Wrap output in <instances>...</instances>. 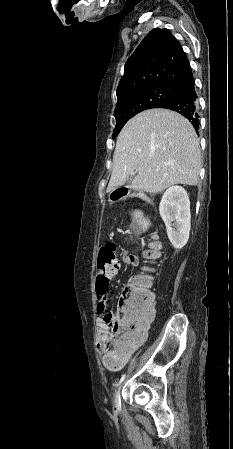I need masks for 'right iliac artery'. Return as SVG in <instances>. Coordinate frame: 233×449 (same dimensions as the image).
<instances>
[{
  "instance_id": "1",
  "label": "right iliac artery",
  "mask_w": 233,
  "mask_h": 449,
  "mask_svg": "<svg viewBox=\"0 0 233 449\" xmlns=\"http://www.w3.org/2000/svg\"><path fill=\"white\" fill-rule=\"evenodd\" d=\"M125 374L121 377V379H120V381L118 382V384L117 385H119L123 380H124V378H125Z\"/></svg>"
}]
</instances>
